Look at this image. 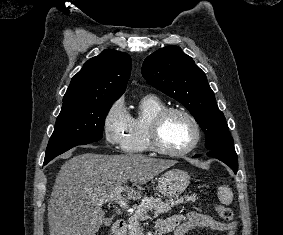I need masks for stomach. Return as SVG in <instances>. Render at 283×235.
<instances>
[{
	"label": "stomach",
	"instance_id": "obj_1",
	"mask_svg": "<svg viewBox=\"0 0 283 235\" xmlns=\"http://www.w3.org/2000/svg\"><path fill=\"white\" fill-rule=\"evenodd\" d=\"M190 176L180 169L167 170L158 179V190L166 197L172 198L182 194L188 187Z\"/></svg>",
	"mask_w": 283,
	"mask_h": 235
}]
</instances>
